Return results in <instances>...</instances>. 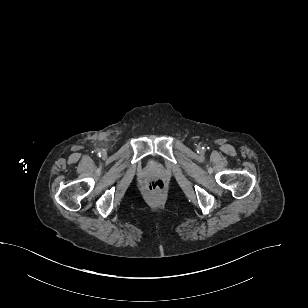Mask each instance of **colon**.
I'll use <instances>...</instances> for the list:
<instances>
[{
	"instance_id": "1",
	"label": "colon",
	"mask_w": 308,
	"mask_h": 308,
	"mask_svg": "<svg viewBox=\"0 0 308 308\" xmlns=\"http://www.w3.org/2000/svg\"><path fill=\"white\" fill-rule=\"evenodd\" d=\"M146 188L150 193H161L165 189V182L162 179H153L147 182Z\"/></svg>"
}]
</instances>
